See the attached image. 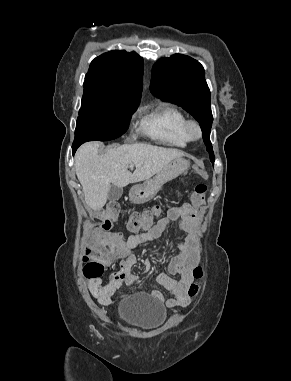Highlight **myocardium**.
<instances>
[{
    "label": "myocardium",
    "instance_id": "myocardium-1",
    "mask_svg": "<svg viewBox=\"0 0 291 381\" xmlns=\"http://www.w3.org/2000/svg\"><path fill=\"white\" fill-rule=\"evenodd\" d=\"M188 134L191 139L197 140L202 135V130L198 122L189 121L187 125Z\"/></svg>",
    "mask_w": 291,
    "mask_h": 381
}]
</instances>
